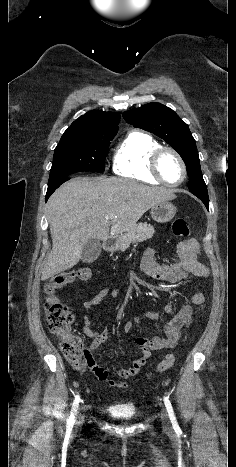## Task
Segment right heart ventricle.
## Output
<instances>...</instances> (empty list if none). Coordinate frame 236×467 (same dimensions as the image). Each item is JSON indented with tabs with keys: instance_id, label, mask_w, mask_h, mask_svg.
I'll use <instances>...</instances> for the list:
<instances>
[{
	"instance_id": "right-heart-ventricle-1",
	"label": "right heart ventricle",
	"mask_w": 236,
	"mask_h": 467,
	"mask_svg": "<svg viewBox=\"0 0 236 467\" xmlns=\"http://www.w3.org/2000/svg\"><path fill=\"white\" fill-rule=\"evenodd\" d=\"M161 145L150 134L131 131L117 146L113 159L115 174L137 181L159 184L151 174L150 157Z\"/></svg>"
}]
</instances>
